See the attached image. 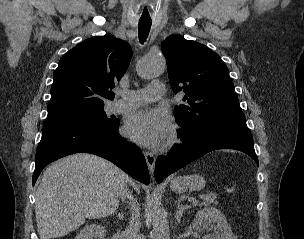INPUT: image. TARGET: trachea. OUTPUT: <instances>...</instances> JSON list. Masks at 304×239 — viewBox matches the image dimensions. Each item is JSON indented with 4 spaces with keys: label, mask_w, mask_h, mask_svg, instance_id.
Here are the masks:
<instances>
[{
    "label": "trachea",
    "mask_w": 304,
    "mask_h": 239,
    "mask_svg": "<svg viewBox=\"0 0 304 239\" xmlns=\"http://www.w3.org/2000/svg\"><path fill=\"white\" fill-rule=\"evenodd\" d=\"M141 12L139 13V25H138V35L141 43L145 42L148 34L150 32V28L152 25L151 14L148 12L149 4L144 2L142 4Z\"/></svg>",
    "instance_id": "3493384b"
}]
</instances>
